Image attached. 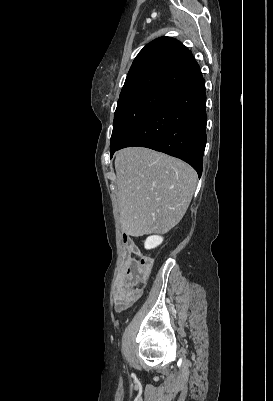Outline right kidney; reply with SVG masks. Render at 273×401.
Returning a JSON list of instances; mask_svg holds the SVG:
<instances>
[{"instance_id": "right-kidney-1", "label": "right kidney", "mask_w": 273, "mask_h": 401, "mask_svg": "<svg viewBox=\"0 0 273 401\" xmlns=\"http://www.w3.org/2000/svg\"><path fill=\"white\" fill-rule=\"evenodd\" d=\"M163 243V237H158V235H154V237H147L144 247L145 249H155L158 245Z\"/></svg>"}]
</instances>
